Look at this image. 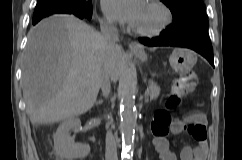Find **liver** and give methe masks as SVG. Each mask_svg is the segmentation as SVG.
<instances>
[{"label": "liver", "mask_w": 242, "mask_h": 160, "mask_svg": "<svg viewBox=\"0 0 242 160\" xmlns=\"http://www.w3.org/2000/svg\"><path fill=\"white\" fill-rule=\"evenodd\" d=\"M115 50H121L122 58L117 81L124 74L126 56L120 46ZM109 52L102 35L73 16H52L33 27L22 62L23 97L31 123H56L90 110Z\"/></svg>", "instance_id": "1"}]
</instances>
